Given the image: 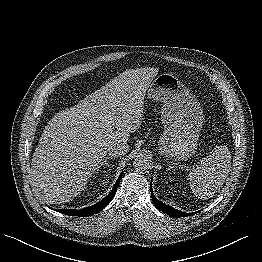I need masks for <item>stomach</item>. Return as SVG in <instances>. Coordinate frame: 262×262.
<instances>
[{
	"label": "stomach",
	"mask_w": 262,
	"mask_h": 262,
	"mask_svg": "<svg viewBox=\"0 0 262 262\" xmlns=\"http://www.w3.org/2000/svg\"><path fill=\"white\" fill-rule=\"evenodd\" d=\"M150 98L163 103L164 132L159 152L173 160H185L196 151L204 114L198 100L171 73L158 75L149 86Z\"/></svg>",
	"instance_id": "0dacf381"
}]
</instances>
